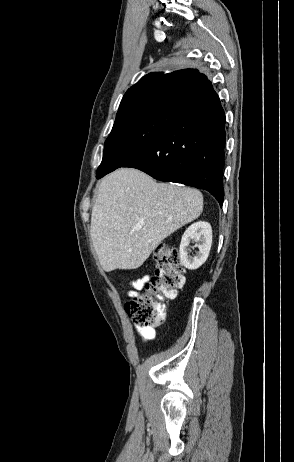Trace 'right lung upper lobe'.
Returning <instances> with one entry per match:
<instances>
[{
  "label": "right lung upper lobe",
  "mask_w": 294,
  "mask_h": 462,
  "mask_svg": "<svg viewBox=\"0 0 294 462\" xmlns=\"http://www.w3.org/2000/svg\"><path fill=\"white\" fill-rule=\"evenodd\" d=\"M211 86L207 77L196 69H183L166 74L152 72L127 90L118 112L133 104L170 93H180L182 96L187 93L202 94Z\"/></svg>",
  "instance_id": "cb5924a9"
}]
</instances>
